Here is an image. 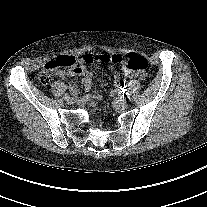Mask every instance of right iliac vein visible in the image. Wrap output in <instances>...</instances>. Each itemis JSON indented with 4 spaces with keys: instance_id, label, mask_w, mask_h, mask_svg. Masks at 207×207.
<instances>
[{
    "instance_id": "right-iliac-vein-1",
    "label": "right iliac vein",
    "mask_w": 207,
    "mask_h": 207,
    "mask_svg": "<svg viewBox=\"0 0 207 207\" xmlns=\"http://www.w3.org/2000/svg\"><path fill=\"white\" fill-rule=\"evenodd\" d=\"M74 102H75L74 98H69V99L67 100V103H68L69 105L73 104Z\"/></svg>"
}]
</instances>
